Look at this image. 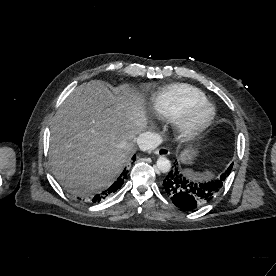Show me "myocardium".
Masks as SVG:
<instances>
[{"label":"myocardium","mask_w":276,"mask_h":276,"mask_svg":"<svg viewBox=\"0 0 276 276\" xmlns=\"http://www.w3.org/2000/svg\"><path fill=\"white\" fill-rule=\"evenodd\" d=\"M208 108L210 113L201 122L194 120V113L199 109ZM216 115L214 106L207 100L191 104L182 117L176 121L178 136L181 140L189 142L197 139L213 122Z\"/></svg>","instance_id":"myocardium-1"}]
</instances>
